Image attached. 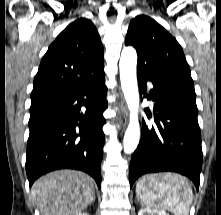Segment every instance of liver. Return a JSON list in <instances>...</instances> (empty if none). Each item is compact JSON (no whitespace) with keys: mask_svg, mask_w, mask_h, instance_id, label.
Instances as JSON below:
<instances>
[{"mask_svg":"<svg viewBox=\"0 0 221 215\" xmlns=\"http://www.w3.org/2000/svg\"><path fill=\"white\" fill-rule=\"evenodd\" d=\"M32 195L41 215H76L93 202V179L84 172L59 170L39 178Z\"/></svg>","mask_w":221,"mask_h":215,"instance_id":"1","label":"liver"}]
</instances>
